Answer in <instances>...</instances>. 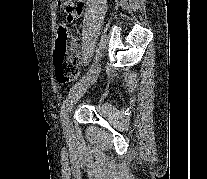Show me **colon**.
Here are the masks:
<instances>
[{
  "label": "colon",
  "mask_w": 207,
  "mask_h": 179,
  "mask_svg": "<svg viewBox=\"0 0 207 179\" xmlns=\"http://www.w3.org/2000/svg\"><path fill=\"white\" fill-rule=\"evenodd\" d=\"M58 5L64 10L67 22L75 10V0H58ZM55 75L60 82L74 80L79 74L77 57L73 56L69 47V33L65 25H61L57 32L54 50Z\"/></svg>",
  "instance_id": "obj_1"
}]
</instances>
